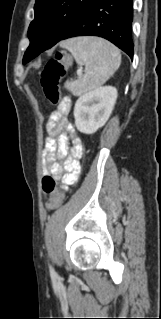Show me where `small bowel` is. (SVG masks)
Here are the masks:
<instances>
[{
    "label": "small bowel",
    "mask_w": 161,
    "mask_h": 319,
    "mask_svg": "<svg viewBox=\"0 0 161 319\" xmlns=\"http://www.w3.org/2000/svg\"><path fill=\"white\" fill-rule=\"evenodd\" d=\"M70 107V100L65 99ZM67 114L59 106L49 117L47 124L48 136L45 139L44 159L48 166L44 171L45 176L61 178L65 186L76 183L80 177L81 168L79 158L82 155V140L75 133L73 125L68 121ZM66 128V130H64ZM71 139L72 145L69 147ZM68 154L71 158L65 161L63 172L62 166L56 161V157L65 158Z\"/></svg>",
    "instance_id": "small-bowel-1"
}]
</instances>
